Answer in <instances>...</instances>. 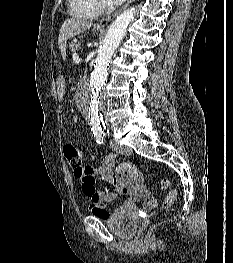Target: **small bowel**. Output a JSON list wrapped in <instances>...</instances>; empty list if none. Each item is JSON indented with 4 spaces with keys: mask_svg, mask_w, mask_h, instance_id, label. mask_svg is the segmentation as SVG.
<instances>
[{
    "mask_svg": "<svg viewBox=\"0 0 233 263\" xmlns=\"http://www.w3.org/2000/svg\"><path fill=\"white\" fill-rule=\"evenodd\" d=\"M90 172L86 175H76L81 179L82 191L91 201V210L100 219H107L110 213L105 204L112 202L118 196H124L125 200L119 208H134L136 201L145 198L143 204L145 211H151L157 206V201L148 197L143 175L138 168L130 162L116 165V156H106L98 166H85ZM100 180L112 186L104 190L96 186Z\"/></svg>",
    "mask_w": 233,
    "mask_h": 263,
    "instance_id": "c3829d8e",
    "label": "small bowel"
}]
</instances>
